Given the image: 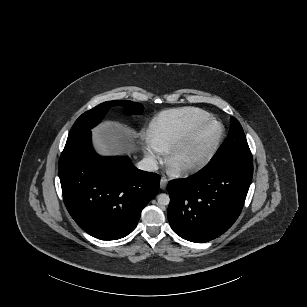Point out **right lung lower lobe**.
I'll return each mask as SVG.
<instances>
[{
	"mask_svg": "<svg viewBox=\"0 0 307 307\" xmlns=\"http://www.w3.org/2000/svg\"><path fill=\"white\" fill-rule=\"evenodd\" d=\"M59 177L68 212L84 231L101 240L131 233L160 183L158 174L137 169L125 157L99 156L90 130L67 140Z\"/></svg>",
	"mask_w": 307,
	"mask_h": 307,
	"instance_id": "1",
	"label": "right lung lower lobe"
}]
</instances>
